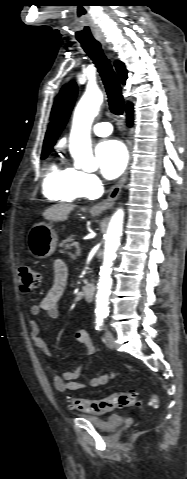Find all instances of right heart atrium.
<instances>
[{"instance_id":"d8ad5b80","label":"right heart atrium","mask_w":187,"mask_h":479,"mask_svg":"<svg viewBox=\"0 0 187 479\" xmlns=\"http://www.w3.org/2000/svg\"><path fill=\"white\" fill-rule=\"evenodd\" d=\"M76 184L85 197L96 196L102 185L97 175L79 170H76Z\"/></svg>"}]
</instances>
